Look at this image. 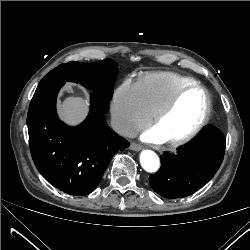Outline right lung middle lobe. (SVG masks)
Listing matches in <instances>:
<instances>
[{"instance_id":"dd1d6c3e","label":"right lung middle lobe","mask_w":250,"mask_h":250,"mask_svg":"<svg viewBox=\"0 0 250 250\" xmlns=\"http://www.w3.org/2000/svg\"><path fill=\"white\" fill-rule=\"evenodd\" d=\"M118 74V64L111 59L97 63L76 61L61 64L43 77L38 86L51 82H76L94 91L95 94L110 100Z\"/></svg>"}]
</instances>
